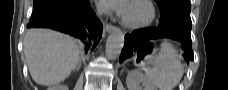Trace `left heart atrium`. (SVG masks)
<instances>
[{
  "label": "left heart atrium",
  "mask_w": 228,
  "mask_h": 90,
  "mask_svg": "<svg viewBox=\"0 0 228 90\" xmlns=\"http://www.w3.org/2000/svg\"><path fill=\"white\" fill-rule=\"evenodd\" d=\"M114 7L116 8V10L118 11L119 14L124 16L126 8H127L126 4H122V5L116 4V5H114Z\"/></svg>",
  "instance_id": "1"
}]
</instances>
